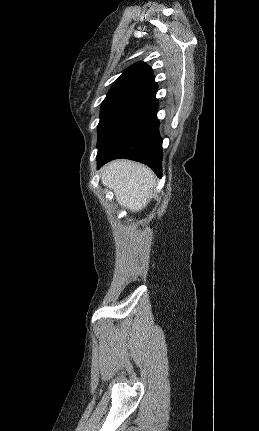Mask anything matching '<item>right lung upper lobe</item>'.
Masks as SVG:
<instances>
[{"instance_id":"1","label":"right lung upper lobe","mask_w":259,"mask_h":431,"mask_svg":"<svg viewBox=\"0 0 259 431\" xmlns=\"http://www.w3.org/2000/svg\"><path fill=\"white\" fill-rule=\"evenodd\" d=\"M130 84L149 89L152 93H155L158 88L157 83L154 81L152 68L144 62L135 63L127 68L115 81L110 91L120 90Z\"/></svg>"}]
</instances>
